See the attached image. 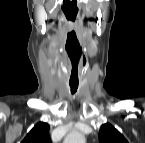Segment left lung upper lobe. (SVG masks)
Instances as JSON below:
<instances>
[{
	"instance_id": "left-lung-upper-lobe-1",
	"label": "left lung upper lobe",
	"mask_w": 145,
	"mask_h": 143,
	"mask_svg": "<svg viewBox=\"0 0 145 143\" xmlns=\"http://www.w3.org/2000/svg\"><path fill=\"white\" fill-rule=\"evenodd\" d=\"M100 143H127L124 136L110 124H104L99 131Z\"/></svg>"
}]
</instances>
